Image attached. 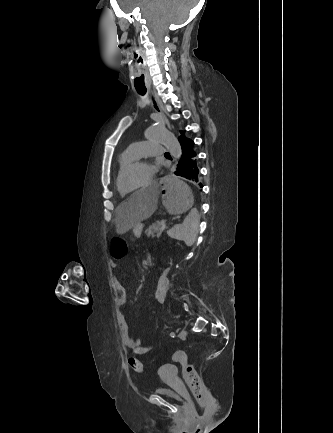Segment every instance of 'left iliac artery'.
Here are the masks:
<instances>
[{"label":"left iliac artery","mask_w":333,"mask_h":433,"mask_svg":"<svg viewBox=\"0 0 333 433\" xmlns=\"http://www.w3.org/2000/svg\"><path fill=\"white\" fill-rule=\"evenodd\" d=\"M170 336H171V337H175V333H174V332H171V333H170Z\"/></svg>","instance_id":"left-iliac-artery-1"}]
</instances>
